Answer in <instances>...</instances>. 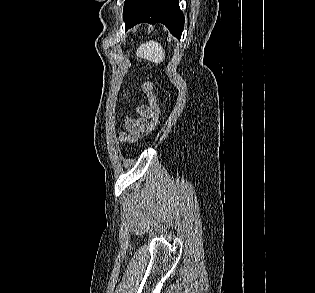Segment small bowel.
Here are the masks:
<instances>
[{
	"label": "small bowel",
	"mask_w": 315,
	"mask_h": 293,
	"mask_svg": "<svg viewBox=\"0 0 315 293\" xmlns=\"http://www.w3.org/2000/svg\"><path fill=\"white\" fill-rule=\"evenodd\" d=\"M138 112L140 114L139 118L126 120V132L120 135L121 141L132 142L137 140L143 133H145L149 124L148 120L151 117V111L147 107H141L138 109Z\"/></svg>",
	"instance_id": "1"
}]
</instances>
